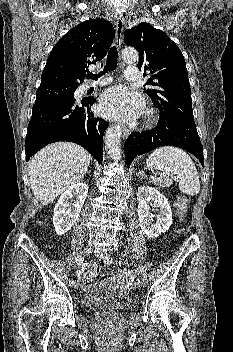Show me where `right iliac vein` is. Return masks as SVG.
Listing matches in <instances>:
<instances>
[{
	"label": "right iliac vein",
	"instance_id": "obj_1",
	"mask_svg": "<svg viewBox=\"0 0 233 352\" xmlns=\"http://www.w3.org/2000/svg\"><path fill=\"white\" fill-rule=\"evenodd\" d=\"M94 247L92 245H87L84 250H83V254L84 255H89L92 251H93ZM75 288H79L80 287V283L76 282V284L74 285Z\"/></svg>",
	"mask_w": 233,
	"mask_h": 352
}]
</instances>
